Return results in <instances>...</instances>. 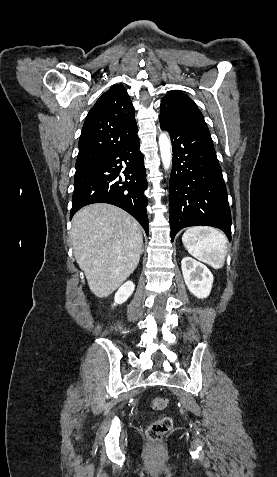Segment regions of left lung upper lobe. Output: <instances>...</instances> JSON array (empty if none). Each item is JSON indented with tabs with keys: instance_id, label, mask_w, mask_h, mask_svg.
I'll use <instances>...</instances> for the list:
<instances>
[{
	"instance_id": "left-lung-upper-lobe-1",
	"label": "left lung upper lobe",
	"mask_w": 277,
	"mask_h": 477,
	"mask_svg": "<svg viewBox=\"0 0 277 477\" xmlns=\"http://www.w3.org/2000/svg\"><path fill=\"white\" fill-rule=\"evenodd\" d=\"M160 123L171 127H194L208 130L196 104L181 91H172L161 102Z\"/></svg>"
}]
</instances>
